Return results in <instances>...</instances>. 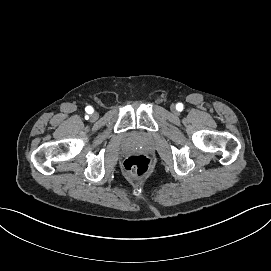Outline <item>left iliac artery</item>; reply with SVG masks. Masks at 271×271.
Instances as JSON below:
<instances>
[{
  "label": "left iliac artery",
  "mask_w": 271,
  "mask_h": 271,
  "mask_svg": "<svg viewBox=\"0 0 271 271\" xmlns=\"http://www.w3.org/2000/svg\"><path fill=\"white\" fill-rule=\"evenodd\" d=\"M176 109H177L178 111H182V110H183V104H182V103H178V104L176 105Z\"/></svg>",
  "instance_id": "1"
}]
</instances>
